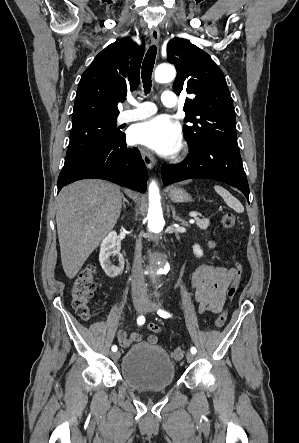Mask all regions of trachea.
Returning a JSON list of instances; mask_svg holds the SVG:
<instances>
[{"mask_svg": "<svg viewBox=\"0 0 299 443\" xmlns=\"http://www.w3.org/2000/svg\"><path fill=\"white\" fill-rule=\"evenodd\" d=\"M156 54H157V48L156 46L153 45L147 51L142 63L141 77H142L145 95H147L151 91L152 87L151 76L155 63Z\"/></svg>", "mask_w": 299, "mask_h": 443, "instance_id": "trachea-1", "label": "trachea"}]
</instances>
